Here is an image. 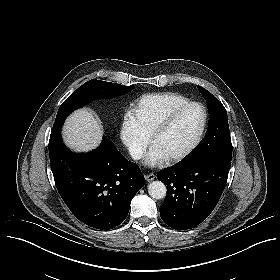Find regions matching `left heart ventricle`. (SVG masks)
<instances>
[{
	"mask_svg": "<svg viewBox=\"0 0 280 280\" xmlns=\"http://www.w3.org/2000/svg\"><path fill=\"white\" fill-rule=\"evenodd\" d=\"M197 113L193 111L184 120L168 127L156 143V149L165 155L176 153L197 127Z\"/></svg>",
	"mask_w": 280,
	"mask_h": 280,
	"instance_id": "obj_1",
	"label": "left heart ventricle"
}]
</instances>
